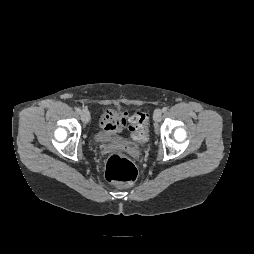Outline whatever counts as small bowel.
<instances>
[{
	"label": "small bowel",
	"mask_w": 254,
	"mask_h": 254,
	"mask_svg": "<svg viewBox=\"0 0 254 254\" xmlns=\"http://www.w3.org/2000/svg\"><path fill=\"white\" fill-rule=\"evenodd\" d=\"M131 117L126 111L108 109L100 119V127L105 134L116 135L124 130Z\"/></svg>",
	"instance_id": "small-bowel-1"
}]
</instances>
